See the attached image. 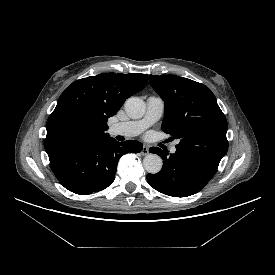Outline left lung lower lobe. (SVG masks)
<instances>
[{
	"label": "left lung lower lobe",
	"instance_id": "left-lung-lower-lobe-1",
	"mask_svg": "<svg viewBox=\"0 0 275 275\" xmlns=\"http://www.w3.org/2000/svg\"><path fill=\"white\" fill-rule=\"evenodd\" d=\"M163 159L156 174H148L147 182L155 190L173 197H187L199 192L215 175L217 167L189 153L176 150L169 157L158 147L149 149Z\"/></svg>",
	"mask_w": 275,
	"mask_h": 275
}]
</instances>
